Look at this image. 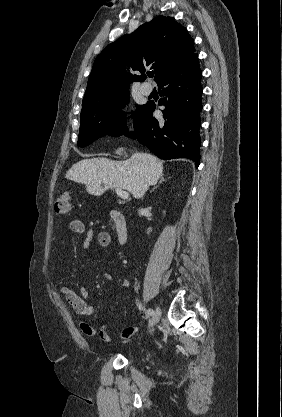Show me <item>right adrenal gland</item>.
Instances as JSON below:
<instances>
[{
    "instance_id": "obj_1",
    "label": "right adrenal gland",
    "mask_w": 282,
    "mask_h": 417,
    "mask_svg": "<svg viewBox=\"0 0 282 417\" xmlns=\"http://www.w3.org/2000/svg\"><path fill=\"white\" fill-rule=\"evenodd\" d=\"M163 180H165L164 176H160L158 184H160V182H163ZM158 184H156V186H154V188H152V190H150V192H153V190H155V188H157Z\"/></svg>"
}]
</instances>
